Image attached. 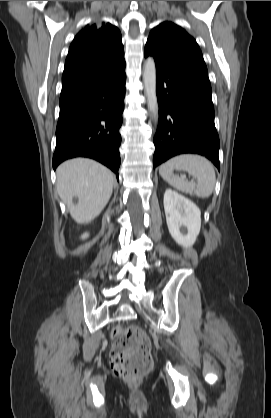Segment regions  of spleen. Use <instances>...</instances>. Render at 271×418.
Masks as SVG:
<instances>
[{
	"instance_id": "1",
	"label": "spleen",
	"mask_w": 271,
	"mask_h": 418,
	"mask_svg": "<svg viewBox=\"0 0 271 418\" xmlns=\"http://www.w3.org/2000/svg\"><path fill=\"white\" fill-rule=\"evenodd\" d=\"M185 170L196 182H188L182 176L173 174V170ZM159 174L175 189L200 198L209 197L215 187L216 175L212 163L206 158L194 154L175 156L159 167Z\"/></svg>"
}]
</instances>
